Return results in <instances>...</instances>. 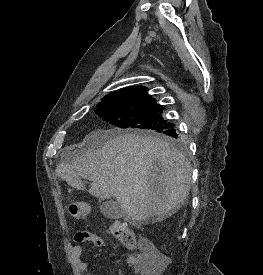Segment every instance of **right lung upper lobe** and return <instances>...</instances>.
<instances>
[{
  "mask_svg": "<svg viewBox=\"0 0 263 275\" xmlns=\"http://www.w3.org/2000/svg\"><path fill=\"white\" fill-rule=\"evenodd\" d=\"M147 91L148 89L143 86H131V87L117 90L112 93H123L134 98H151L150 95L147 93Z\"/></svg>",
  "mask_w": 263,
  "mask_h": 275,
  "instance_id": "cb5924a9",
  "label": "right lung upper lobe"
}]
</instances>
